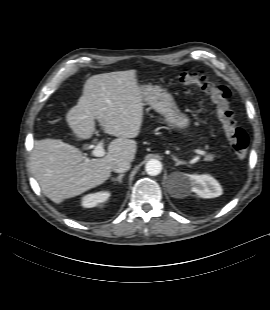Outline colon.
I'll use <instances>...</instances> for the list:
<instances>
[{
  "label": "colon",
  "instance_id": "1",
  "mask_svg": "<svg viewBox=\"0 0 270 310\" xmlns=\"http://www.w3.org/2000/svg\"><path fill=\"white\" fill-rule=\"evenodd\" d=\"M179 83L183 86L198 87L209 95L216 106V114L234 153L239 159H245L248 154L249 138L234 119L229 104V90L199 72L182 73L179 76Z\"/></svg>",
  "mask_w": 270,
  "mask_h": 310
}]
</instances>
